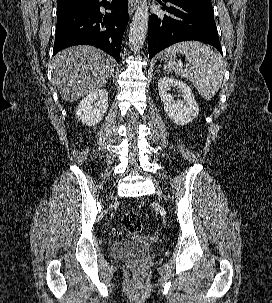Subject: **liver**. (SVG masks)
I'll return each instance as SVG.
<instances>
[{
    "instance_id": "6515ba94",
    "label": "liver",
    "mask_w": 272,
    "mask_h": 303,
    "mask_svg": "<svg viewBox=\"0 0 272 303\" xmlns=\"http://www.w3.org/2000/svg\"><path fill=\"white\" fill-rule=\"evenodd\" d=\"M115 66L114 58L96 47L74 46L55 55L53 81L62 99L73 102L103 87Z\"/></svg>"
}]
</instances>
